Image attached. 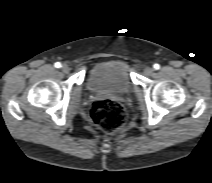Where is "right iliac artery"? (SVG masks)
<instances>
[{
	"label": "right iliac artery",
	"mask_w": 212,
	"mask_h": 183,
	"mask_svg": "<svg viewBox=\"0 0 212 183\" xmlns=\"http://www.w3.org/2000/svg\"><path fill=\"white\" fill-rule=\"evenodd\" d=\"M54 66H55L56 68H60V67H61V63H60V62H56V63L54 64Z\"/></svg>",
	"instance_id": "82829eb1"
}]
</instances>
